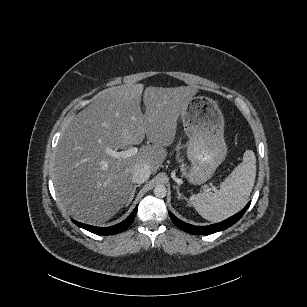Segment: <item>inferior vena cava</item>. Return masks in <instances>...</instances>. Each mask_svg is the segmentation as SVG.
<instances>
[{
    "mask_svg": "<svg viewBox=\"0 0 307 307\" xmlns=\"http://www.w3.org/2000/svg\"><path fill=\"white\" fill-rule=\"evenodd\" d=\"M151 174V169L146 163H138L133 170L132 180L135 183L141 184L145 182Z\"/></svg>",
    "mask_w": 307,
    "mask_h": 307,
    "instance_id": "inferior-vena-cava-1",
    "label": "inferior vena cava"
}]
</instances>
